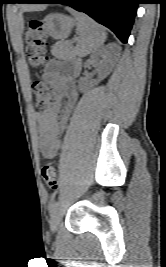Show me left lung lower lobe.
Segmentation results:
<instances>
[{
	"label": "left lung lower lobe",
	"instance_id": "0a47b994",
	"mask_svg": "<svg viewBox=\"0 0 166 267\" xmlns=\"http://www.w3.org/2000/svg\"><path fill=\"white\" fill-rule=\"evenodd\" d=\"M24 3H63L88 14L127 43L139 0H27Z\"/></svg>",
	"mask_w": 166,
	"mask_h": 267
}]
</instances>
